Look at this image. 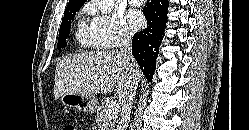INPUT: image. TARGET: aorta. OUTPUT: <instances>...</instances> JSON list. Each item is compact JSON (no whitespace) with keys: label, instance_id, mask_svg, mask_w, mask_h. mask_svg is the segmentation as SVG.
<instances>
[{"label":"aorta","instance_id":"aorta-1","mask_svg":"<svg viewBox=\"0 0 249 130\" xmlns=\"http://www.w3.org/2000/svg\"><path fill=\"white\" fill-rule=\"evenodd\" d=\"M98 9L104 13H110L114 7V0H96Z\"/></svg>","mask_w":249,"mask_h":130}]
</instances>
